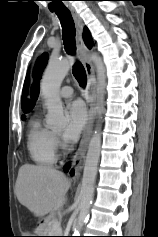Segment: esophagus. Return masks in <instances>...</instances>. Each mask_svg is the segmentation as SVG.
I'll return each mask as SVG.
<instances>
[{
	"instance_id": "obj_1",
	"label": "esophagus",
	"mask_w": 158,
	"mask_h": 237,
	"mask_svg": "<svg viewBox=\"0 0 158 237\" xmlns=\"http://www.w3.org/2000/svg\"><path fill=\"white\" fill-rule=\"evenodd\" d=\"M76 26V46L80 56V60L85 68L87 75V88L85 93L86 106L88 110V120L83 131L82 139L79 147L72 159L71 167L68 171V176L71 180H77L82 170L89 141L91 138L94 122H95V71L92 62L89 58V50L83 40V21L74 7L69 8Z\"/></svg>"
}]
</instances>
